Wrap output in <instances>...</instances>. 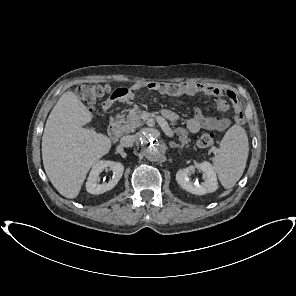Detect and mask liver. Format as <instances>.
Listing matches in <instances>:
<instances>
[{
  "label": "liver",
  "instance_id": "1",
  "mask_svg": "<svg viewBox=\"0 0 296 296\" xmlns=\"http://www.w3.org/2000/svg\"><path fill=\"white\" fill-rule=\"evenodd\" d=\"M93 114L72 91L52 109L42 136V159L53 186L64 197L76 198L89 169L111 149V140L83 126Z\"/></svg>",
  "mask_w": 296,
  "mask_h": 296
}]
</instances>
